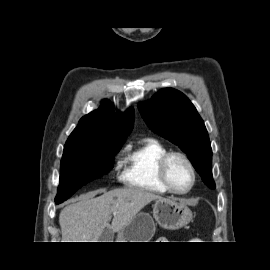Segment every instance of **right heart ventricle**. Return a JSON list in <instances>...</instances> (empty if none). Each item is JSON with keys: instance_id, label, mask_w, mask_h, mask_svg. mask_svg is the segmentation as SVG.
I'll return each mask as SVG.
<instances>
[{"instance_id": "1", "label": "right heart ventricle", "mask_w": 270, "mask_h": 270, "mask_svg": "<svg viewBox=\"0 0 270 270\" xmlns=\"http://www.w3.org/2000/svg\"><path fill=\"white\" fill-rule=\"evenodd\" d=\"M167 152L166 146L153 138L130 149L124 160L122 179L125 185L154 194L168 193L158 174L159 161Z\"/></svg>"}]
</instances>
